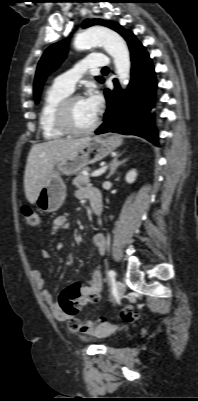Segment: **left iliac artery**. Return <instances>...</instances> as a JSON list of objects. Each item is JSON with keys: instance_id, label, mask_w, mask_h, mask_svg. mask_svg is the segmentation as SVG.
I'll use <instances>...</instances> for the list:
<instances>
[{"instance_id": "1", "label": "left iliac artery", "mask_w": 198, "mask_h": 401, "mask_svg": "<svg viewBox=\"0 0 198 401\" xmlns=\"http://www.w3.org/2000/svg\"><path fill=\"white\" fill-rule=\"evenodd\" d=\"M115 275H116V273H115L114 270H109V271H108V276H109L111 279H113V278L115 277Z\"/></svg>"}]
</instances>
